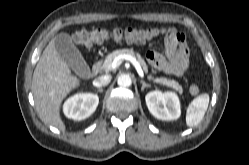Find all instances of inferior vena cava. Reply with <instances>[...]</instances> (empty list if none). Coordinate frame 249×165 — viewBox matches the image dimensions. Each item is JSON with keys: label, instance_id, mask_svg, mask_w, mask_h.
Listing matches in <instances>:
<instances>
[{"label": "inferior vena cava", "instance_id": "inferior-vena-cava-1", "mask_svg": "<svg viewBox=\"0 0 249 165\" xmlns=\"http://www.w3.org/2000/svg\"><path fill=\"white\" fill-rule=\"evenodd\" d=\"M112 77L111 75H102V76H99L98 78H96L94 81H93V85L95 87H102V86H106L110 83Z\"/></svg>", "mask_w": 249, "mask_h": 165}]
</instances>
